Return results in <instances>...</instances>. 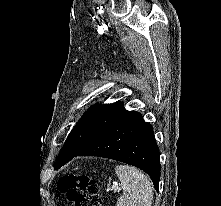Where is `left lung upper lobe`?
<instances>
[{"label":"left lung upper lobe","mask_w":221,"mask_h":206,"mask_svg":"<svg viewBox=\"0 0 221 206\" xmlns=\"http://www.w3.org/2000/svg\"><path fill=\"white\" fill-rule=\"evenodd\" d=\"M124 111L122 102L90 107L68 135L54 164L55 168L61 167L73 158Z\"/></svg>","instance_id":"1"}]
</instances>
